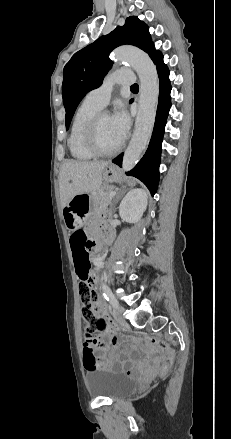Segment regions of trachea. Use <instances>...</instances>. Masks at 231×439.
Returning <instances> with one entry per match:
<instances>
[{
    "label": "trachea",
    "mask_w": 231,
    "mask_h": 439,
    "mask_svg": "<svg viewBox=\"0 0 231 439\" xmlns=\"http://www.w3.org/2000/svg\"><path fill=\"white\" fill-rule=\"evenodd\" d=\"M131 89H137V90H138V84H133V85L131 86Z\"/></svg>",
    "instance_id": "trachea-1"
}]
</instances>
